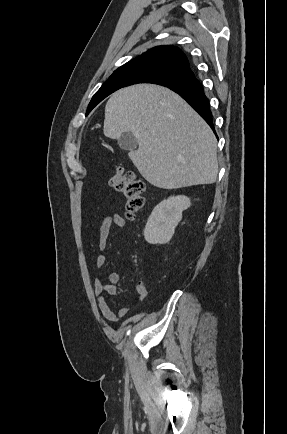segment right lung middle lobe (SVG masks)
<instances>
[{
  "label": "right lung middle lobe",
  "mask_w": 287,
  "mask_h": 434,
  "mask_svg": "<svg viewBox=\"0 0 287 434\" xmlns=\"http://www.w3.org/2000/svg\"><path fill=\"white\" fill-rule=\"evenodd\" d=\"M179 78L180 76L176 74L154 68H142L127 72L113 73L91 99L86 115L104 98L122 87L136 83L158 84L162 81H176L179 80Z\"/></svg>",
  "instance_id": "dd1d6c3e"
}]
</instances>
